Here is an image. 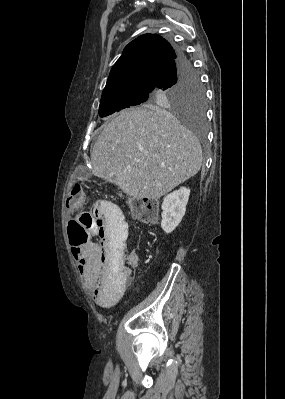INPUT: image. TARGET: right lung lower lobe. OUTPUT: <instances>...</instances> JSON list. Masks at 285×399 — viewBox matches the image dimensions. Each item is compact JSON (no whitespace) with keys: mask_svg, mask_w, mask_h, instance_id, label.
<instances>
[{"mask_svg":"<svg viewBox=\"0 0 285 399\" xmlns=\"http://www.w3.org/2000/svg\"><path fill=\"white\" fill-rule=\"evenodd\" d=\"M190 68H192V65L188 61L184 51L177 50L176 59L166 68L157 83L156 88H163L168 84L178 81Z\"/></svg>","mask_w":285,"mask_h":399,"instance_id":"right-lung-lower-lobe-1","label":"right lung lower lobe"}]
</instances>
